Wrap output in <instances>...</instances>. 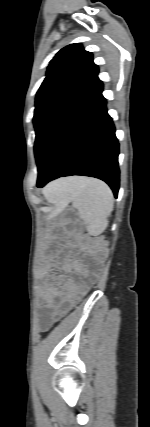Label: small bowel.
<instances>
[{"label":"small bowel","mask_w":150,"mask_h":427,"mask_svg":"<svg viewBox=\"0 0 150 427\" xmlns=\"http://www.w3.org/2000/svg\"><path fill=\"white\" fill-rule=\"evenodd\" d=\"M62 267L70 268L68 264H63ZM50 268V264H43L40 269L42 275L40 301L44 305L40 314V325L43 329H47L59 316L67 312L77 300L78 294L84 289V284L67 283L60 291L58 285L61 283V279L50 274ZM57 298H60L59 303H56Z\"/></svg>","instance_id":"1"}]
</instances>
